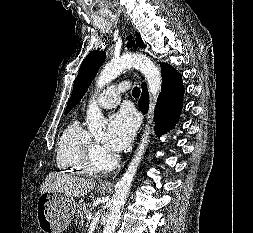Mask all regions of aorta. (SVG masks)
Segmentation results:
<instances>
[{
    "mask_svg": "<svg viewBox=\"0 0 253 233\" xmlns=\"http://www.w3.org/2000/svg\"><path fill=\"white\" fill-rule=\"evenodd\" d=\"M131 67L138 68L146 78L151 103L154 104L161 90V73L153 61L143 54H127L112 61L111 63H108L103 68L96 81L97 93L103 89L105 85L118 77L125 69ZM95 96L96 94L89 101L87 109L86 123L90 132L103 131L107 124V120L104 118L101 110L96 104ZM152 118L153 115L151 113L149 115V124L141 137L135 155L129 163L122 178L117 183V190L112 199L109 216L103 233H114L116 226L119 223L122 207L124 206L125 200L132 185V181L143 158L145 149L149 143L151 134L150 124L152 123Z\"/></svg>",
    "mask_w": 253,
    "mask_h": 233,
    "instance_id": "aorta-1",
    "label": "aorta"
}]
</instances>
